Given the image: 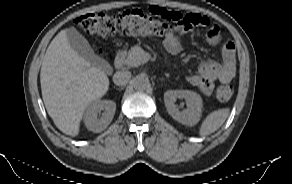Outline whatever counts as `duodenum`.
Instances as JSON below:
<instances>
[{"label":"duodenum","instance_id":"410a0bca","mask_svg":"<svg viewBox=\"0 0 292 184\" xmlns=\"http://www.w3.org/2000/svg\"><path fill=\"white\" fill-rule=\"evenodd\" d=\"M125 59V51L124 50H119L114 57V64L116 68L120 69L123 66Z\"/></svg>","mask_w":292,"mask_h":184}]
</instances>
